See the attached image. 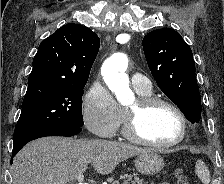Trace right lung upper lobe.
Returning a JSON list of instances; mask_svg holds the SVG:
<instances>
[{
  "instance_id": "obj_1",
  "label": "right lung upper lobe",
  "mask_w": 224,
  "mask_h": 184,
  "mask_svg": "<svg viewBox=\"0 0 224 184\" xmlns=\"http://www.w3.org/2000/svg\"><path fill=\"white\" fill-rule=\"evenodd\" d=\"M99 46V37L88 27L62 26L40 43L28 85L86 83Z\"/></svg>"
}]
</instances>
